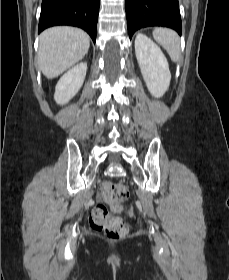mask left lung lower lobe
Masks as SVG:
<instances>
[{
	"label": "left lung lower lobe",
	"mask_w": 229,
	"mask_h": 280,
	"mask_svg": "<svg viewBox=\"0 0 229 280\" xmlns=\"http://www.w3.org/2000/svg\"><path fill=\"white\" fill-rule=\"evenodd\" d=\"M129 37L140 28L165 26L182 33L178 0H125Z\"/></svg>",
	"instance_id": "obj_1"
}]
</instances>
